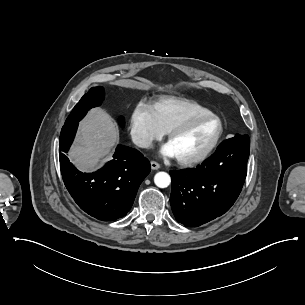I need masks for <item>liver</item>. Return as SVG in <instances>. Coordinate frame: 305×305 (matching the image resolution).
I'll use <instances>...</instances> for the list:
<instances>
[{
	"label": "liver",
	"mask_w": 305,
	"mask_h": 305,
	"mask_svg": "<svg viewBox=\"0 0 305 305\" xmlns=\"http://www.w3.org/2000/svg\"><path fill=\"white\" fill-rule=\"evenodd\" d=\"M118 140L119 132L110 115L101 108H93L80 122L68 155L80 171H93L110 159Z\"/></svg>",
	"instance_id": "liver-1"
}]
</instances>
